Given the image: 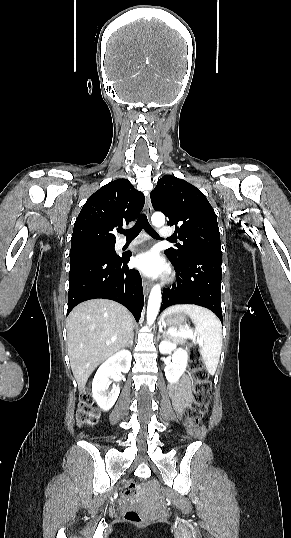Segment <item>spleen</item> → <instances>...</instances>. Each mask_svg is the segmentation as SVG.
<instances>
[{"instance_id": "obj_1", "label": "spleen", "mask_w": 291, "mask_h": 538, "mask_svg": "<svg viewBox=\"0 0 291 538\" xmlns=\"http://www.w3.org/2000/svg\"><path fill=\"white\" fill-rule=\"evenodd\" d=\"M183 312L190 316L195 325L198 340L202 342L200 353L207 371L213 375L222 349V326L213 312L196 305L180 304L167 308L162 317L168 314Z\"/></svg>"}]
</instances>
